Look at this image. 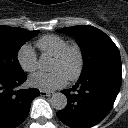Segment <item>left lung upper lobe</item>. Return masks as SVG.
Masks as SVG:
<instances>
[{
    "instance_id": "5c2ea615",
    "label": "left lung upper lobe",
    "mask_w": 128,
    "mask_h": 128,
    "mask_svg": "<svg viewBox=\"0 0 128 128\" xmlns=\"http://www.w3.org/2000/svg\"><path fill=\"white\" fill-rule=\"evenodd\" d=\"M57 31L76 38L81 48L84 62L81 76L102 63L113 62L121 64L117 46L101 30L89 25H78Z\"/></svg>"
}]
</instances>
